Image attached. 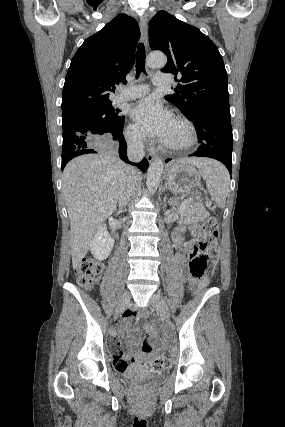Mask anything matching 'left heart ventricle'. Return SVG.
I'll use <instances>...</instances> for the list:
<instances>
[{"instance_id": "left-heart-ventricle-1", "label": "left heart ventricle", "mask_w": 285, "mask_h": 427, "mask_svg": "<svg viewBox=\"0 0 285 427\" xmlns=\"http://www.w3.org/2000/svg\"><path fill=\"white\" fill-rule=\"evenodd\" d=\"M187 139V131L183 124L173 119L168 135L165 139L166 142L172 144H181Z\"/></svg>"}]
</instances>
